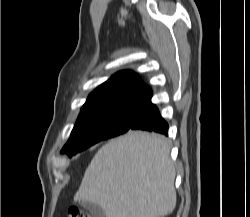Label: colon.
Here are the masks:
<instances>
[{"instance_id":"1","label":"colon","mask_w":250,"mask_h":217,"mask_svg":"<svg viewBox=\"0 0 250 217\" xmlns=\"http://www.w3.org/2000/svg\"><path fill=\"white\" fill-rule=\"evenodd\" d=\"M67 217H91V216L88 213L78 208H72L68 211Z\"/></svg>"}]
</instances>
